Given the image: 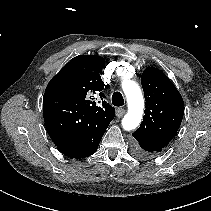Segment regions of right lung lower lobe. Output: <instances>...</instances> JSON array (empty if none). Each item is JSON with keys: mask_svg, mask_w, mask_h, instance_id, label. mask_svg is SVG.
<instances>
[{"mask_svg": "<svg viewBox=\"0 0 211 211\" xmlns=\"http://www.w3.org/2000/svg\"><path fill=\"white\" fill-rule=\"evenodd\" d=\"M79 111V104L70 97L44 94L43 116L47 131L58 150L71 158L94 154L108 127L92 121L83 122Z\"/></svg>", "mask_w": 211, "mask_h": 211, "instance_id": "1", "label": "right lung lower lobe"}]
</instances>
